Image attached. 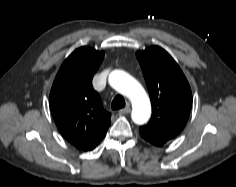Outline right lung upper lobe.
<instances>
[{
  "label": "right lung upper lobe",
  "instance_id": "1",
  "mask_svg": "<svg viewBox=\"0 0 236 187\" xmlns=\"http://www.w3.org/2000/svg\"><path fill=\"white\" fill-rule=\"evenodd\" d=\"M103 58V51L76 49L61 65L50 92V109L58 130L84 151L94 149L111 124V114L92 87Z\"/></svg>",
  "mask_w": 236,
  "mask_h": 187
}]
</instances>
